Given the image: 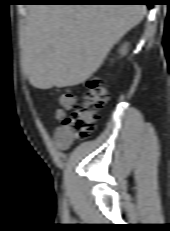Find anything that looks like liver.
<instances>
[{
  "instance_id": "obj_1",
  "label": "liver",
  "mask_w": 170,
  "mask_h": 231,
  "mask_svg": "<svg viewBox=\"0 0 170 231\" xmlns=\"http://www.w3.org/2000/svg\"><path fill=\"white\" fill-rule=\"evenodd\" d=\"M145 5H34L20 35L21 65L38 89L84 83L144 18Z\"/></svg>"
}]
</instances>
